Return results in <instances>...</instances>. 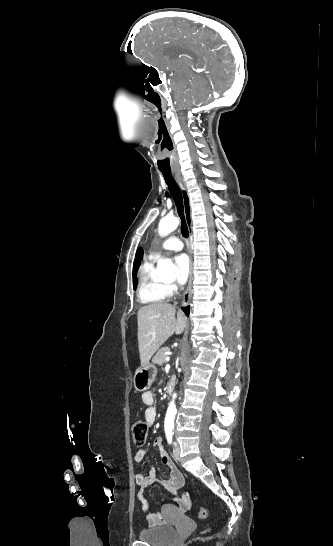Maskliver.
<instances>
[{
  "label": "liver",
  "instance_id": "1",
  "mask_svg": "<svg viewBox=\"0 0 333 546\" xmlns=\"http://www.w3.org/2000/svg\"><path fill=\"white\" fill-rule=\"evenodd\" d=\"M168 303H154L143 306L137 315L138 345L141 366L149 364L151 357L174 333L183 332L185 318L182 311Z\"/></svg>",
  "mask_w": 333,
  "mask_h": 546
}]
</instances>
